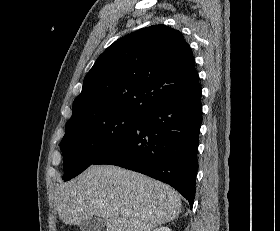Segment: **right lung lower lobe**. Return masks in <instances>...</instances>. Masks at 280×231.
<instances>
[{"instance_id": "obj_1", "label": "right lung lower lobe", "mask_w": 280, "mask_h": 231, "mask_svg": "<svg viewBox=\"0 0 280 231\" xmlns=\"http://www.w3.org/2000/svg\"><path fill=\"white\" fill-rule=\"evenodd\" d=\"M201 93L159 104L93 165H116L165 182L190 203L195 198Z\"/></svg>"}]
</instances>
